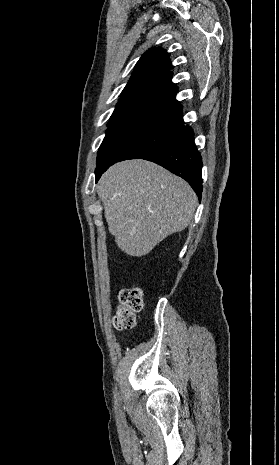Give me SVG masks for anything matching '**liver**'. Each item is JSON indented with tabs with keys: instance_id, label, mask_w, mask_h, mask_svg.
<instances>
[{
	"instance_id": "liver-1",
	"label": "liver",
	"mask_w": 279,
	"mask_h": 465,
	"mask_svg": "<svg viewBox=\"0 0 279 465\" xmlns=\"http://www.w3.org/2000/svg\"><path fill=\"white\" fill-rule=\"evenodd\" d=\"M97 193L117 246L136 257L184 230L197 206L196 194L185 180L142 159L111 166L100 178Z\"/></svg>"
}]
</instances>
